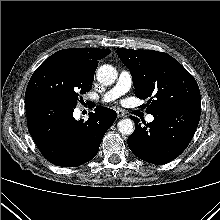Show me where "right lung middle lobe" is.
Wrapping results in <instances>:
<instances>
[{
    "label": "right lung middle lobe",
    "mask_w": 220,
    "mask_h": 220,
    "mask_svg": "<svg viewBox=\"0 0 220 220\" xmlns=\"http://www.w3.org/2000/svg\"><path fill=\"white\" fill-rule=\"evenodd\" d=\"M93 80L94 73L76 61L50 56L33 73L25 97L46 96L75 107L80 95L90 91Z\"/></svg>",
    "instance_id": "1"
}]
</instances>
